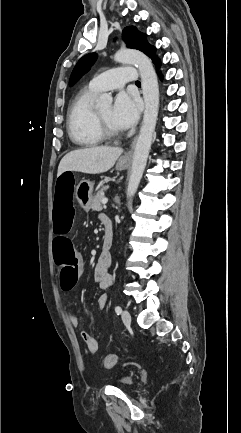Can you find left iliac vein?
<instances>
[{"label": "left iliac vein", "instance_id": "1", "mask_svg": "<svg viewBox=\"0 0 241 433\" xmlns=\"http://www.w3.org/2000/svg\"><path fill=\"white\" fill-rule=\"evenodd\" d=\"M122 320L125 325L129 326L131 324V315L127 310L122 312Z\"/></svg>", "mask_w": 241, "mask_h": 433}]
</instances>
